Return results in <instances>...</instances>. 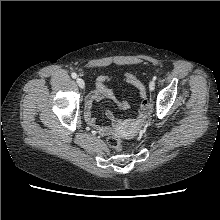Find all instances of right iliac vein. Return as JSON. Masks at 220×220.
<instances>
[{"mask_svg":"<svg viewBox=\"0 0 220 220\" xmlns=\"http://www.w3.org/2000/svg\"><path fill=\"white\" fill-rule=\"evenodd\" d=\"M76 82H77L78 86H79L81 89H84L85 83H84V81H83L82 78L78 77V78L76 79Z\"/></svg>","mask_w":220,"mask_h":220,"instance_id":"1","label":"right iliac vein"}]
</instances>
